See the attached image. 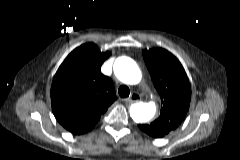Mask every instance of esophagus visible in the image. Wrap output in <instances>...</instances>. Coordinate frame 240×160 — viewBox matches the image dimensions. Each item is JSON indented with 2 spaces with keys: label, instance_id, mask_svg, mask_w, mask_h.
I'll use <instances>...</instances> for the list:
<instances>
[{
  "label": "esophagus",
  "instance_id": "34e87169",
  "mask_svg": "<svg viewBox=\"0 0 240 160\" xmlns=\"http://www.w3.org/2000/svg\"><path fill=\"white\" fill-rule=\"evenodd\" d=\"M141 100V95L138 92H133L129 98L125 99L127 103L139 102Z\"/></svg>",
  "mask_w": 240,
  "mask_h": 160
}]
</instances>
